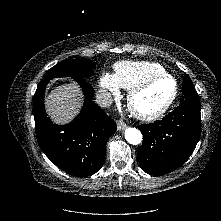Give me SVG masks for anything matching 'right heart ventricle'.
<instances>
[{"label": "right heart ventricle", "instance_id": "obj_1", "mask_svg": "<svg viewBox=\"0 0 221 221\" xmlns=\"http://www.w3.org/2000/svg\"><path fill=\"white\" fill-rule=\"evenodd\" d=\"M166 73L165 69L153 62L121 61L114 65V79L117 85L130 91L147 79Z\"/></svg>", "mask_w": 221, "mask_h": 221}]
</instances>
